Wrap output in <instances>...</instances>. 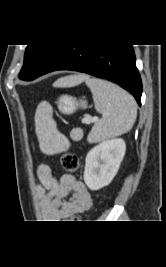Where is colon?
<instances>
[{
  "mask_svg": "<svg viewBox=\"0 0 166 267\" xmlns=\"http://www.w3.org/2000/svg\"><path fill=\"white\" fill-rule=\"evenodd\" d=\"M61 164L66 171L76 172L79 169L80 161L74 153L66 152L61 156Z\"/></svg>",
  "mask_w": 166,
  "mask_h": 267,
  "instance_id": "1",
  "label": "colon"
}]
</instances>
